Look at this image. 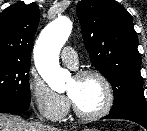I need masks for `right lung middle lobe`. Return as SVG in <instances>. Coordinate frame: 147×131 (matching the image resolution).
<instances>
[{"mask_svg":"<svg viewBox=\"0 0 147 131\" xmlns=\"http://www.w3.org/2000/svg\"><path fill=\"white\" fill-rule=\"evenodd\" d=\"M30 63L0 60V99L30 104Z\"/></svg>","mask_w":147,"mask_h":131,"instance_id":"1","label":"right lung middle lobe"}]
</instances>
